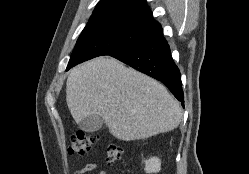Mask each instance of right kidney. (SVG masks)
<instances>
[{
    "label": "right kidney",
    "mask_w": 249,
    "mask_h": 174,
    "mask_svg": "<svg viewBox=\"0 0 249 174\" xmlns=\"http://www.w3.org/2000/svg\"><path fill=\"white\" fill-rule=\"evenodd\" d=\"M161 170V160L157 157H151L145 160L146 173H158Z\"/></svg>",
    "instance_id": "obj_1"
}]
</instances>
